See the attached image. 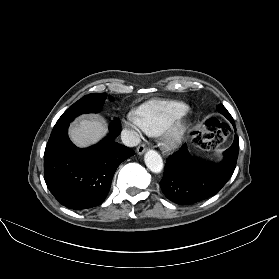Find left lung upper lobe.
Returning a JSON list of instances; mask_svg holds the SVG:
<instances>
[{"label": "left lung upper lobe", "instance_id": "obj_1", "mask_svg": "<svg viewBox=\"0 0 279 279\" xmlns=\"http://www.w3.org/2000/svg\"><path fill=\"white\" fill-rule=\"evenodd\" d=\"M217 110L222 113L228 120L233 119L232 116L229 114V112L227 111V109L222 105L219 104L217 106Z\"/></svg>", "mask_w": 279, "mask_h": 279}]
</instances>
